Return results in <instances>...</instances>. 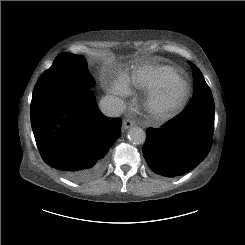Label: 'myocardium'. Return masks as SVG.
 Wrapping results in <instances>:
<instances>
[{"label": "myocardium", "instance_id": "1", "mask_svg": "<svg viewBox=\"0 0 245 245\" xmlns=\"http://www.w3.org/2000/svg\"><path fill=\"white\" fill-rule=\"evenodd\" d=\"M189 95V84L180 76H176L166 87L149 89L146 104L154 119L163 120L179 111L185 105Z\"/></svg>", "mask_w": 245, "mask_h": 245}]
</instances>
